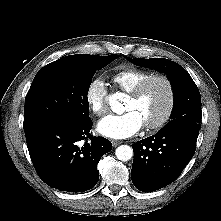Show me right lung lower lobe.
I'll list each match as a JSON object with an SVG mask.
<instances>
[{
	"mask_svg": "<svg viewBox=\"0 0 221 221\" xmlns=\"http://www.w3.org/2000/svg\"><path fill=\"white\" fill-rule=\"evenodd\" d=\"M92 121L72 123L56 121L42 125L26 135L27 147L39 177L50 187L67 192H83L99 179L100 157L112 144L102 137H91ZM87 136V137H86Z\"/></svg>",
	"mask_w": 221,
	"mask_h": 221,
	"instance_id": "1",
	"label": "right lung lower lobe"
}]
</instances>
